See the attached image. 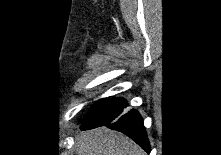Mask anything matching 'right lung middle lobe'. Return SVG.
Masks as SVG:
<instances>
[{"mask_svg":"<svg viewBox=\"0 0 221 155\" xmlns=\"http://www.w3.org/2000/svg\"><path fill=\"white\" fill-rule=\"evenodd\" d=\"M101 101L102 100H98L97 102H95L93 104V106L91 107L90 111L88 112L89 116L98 108V106L100 105Z\"/></svg>","mask_w":221,"mask_h":155,"instance_id":"right-lung-middle-lobe-1","label":"right lung middle lobe"}]
</instances>
